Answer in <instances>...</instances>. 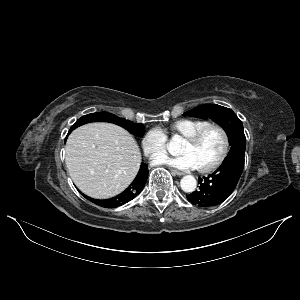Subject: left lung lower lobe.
Here are the masks:
<instances>
[{
  "instance_id": "left-lung-lower-lobe-1",
  "label": "left lung lower lobe",
  "mask_w": 300,
  "mask_h": 300,
  "mask_svg": "<svg viewBox=\"0 0 300 300\" xmlns=\"http://www.w3.org/2000/svg\"><path fill=\"white\" fill-rule=\"evenodd\" d=\"M243 168L244 156L229 154L214 173L199 177V189L186 196L188 201L200 207H212L222 203L234 191Z\"/></svg>"
}]
</instances>
